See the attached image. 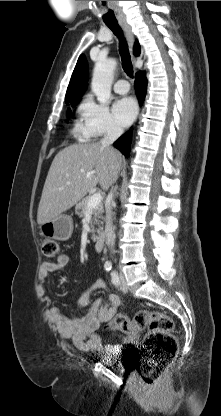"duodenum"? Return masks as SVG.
<instances>
[{
  "label": "duodenum",
  "instance_id": "duodenum-1",
  "mask_svg": "<svg viewBox=\"0 0 221 416\" xmlns=\"http://www.w3.org/2000/svg\"><path fill=\"white\" fill-rule=\"evenodd\" d=\"M105 245V232L102 230L95 240V250L101 252Z\"/></svg>",
  "mask_w": 221,
  "mask_h": 416
}]
</instances>
